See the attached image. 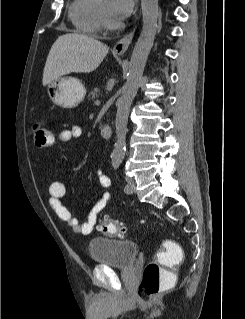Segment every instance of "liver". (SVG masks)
<instances>
[{
  "mask_svg": "<svg viewBox=\"0 0 245 319\" xmlns=\"http://www.w3.org/2000/svg\"><path fill=\"white\" fill-rule=\"evenodd\" d=\"M109 48L81 33H67L52 45L43 71V86L70 73H90L107 55Z\"/></svg>",
  "mask_w": 245,
  "mask_h": 319,
  "instance_id": "6515ba94",
  "label": "liver"
}]
</instances>
